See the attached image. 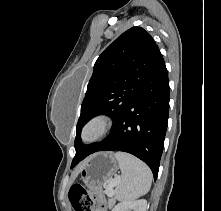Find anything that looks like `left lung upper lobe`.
<instances>
[{
  "mask_svg": "<svg viewBox=\"0 0 221 211\" xmlns=\"http://www.w3.org/2000/svg\"><path fill=\"white\" fill-rule=\"evenodd\" d=\"M159 54L155 41L141 27L130 28L102 52L95 62L81 105L74 143L76 155L71 168L87 157L98 144H82V127L99 114L111 116L114 127L138 93Z\"/></svg>",
  "mask_w": 221,
  "mask_h": 211,
  "instance_id": "left-lung-upper-lobe-1",
  "label": "left lung upper lobe"
}]
</instances>
